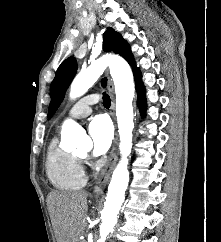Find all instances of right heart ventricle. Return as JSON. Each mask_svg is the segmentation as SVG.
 Segmentation results:
<instances>
[{"instance_id":"1","label":"right heart ventricle","mask_w":221,"mask_h":242,"mask_svg":"<svg viewBox=\"0 0 221 242\" xmlns=\"http://www.w3.org/2000/svg\"><path fill=\"white\" fill-rule=\"evenodd\" d=\"M45 169L48 180L59 190L79 189L86 183L79 157L61 149L56 137L49 142Z\"/></svg>"}]
</instances>
